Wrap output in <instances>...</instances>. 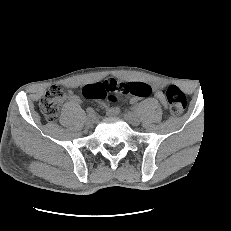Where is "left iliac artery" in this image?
<instances>
[{
	"mask_svg": "<svg viewBox=\"0 0 231 231\" xmlns=\"http://www.w3.org/2000/svg\"><path fill=\"white\" fill-rule=\"evenodd\" d=\"M132 112L133 113H138L139 112V107L138 106H133L132 107Z\"/></svg>",
	"mask_w": 231,
	"mask_h": 231,
	"instance_id": "left-iliac-artery-1",
	"label": "left iliac artery"
}]
</instances>
